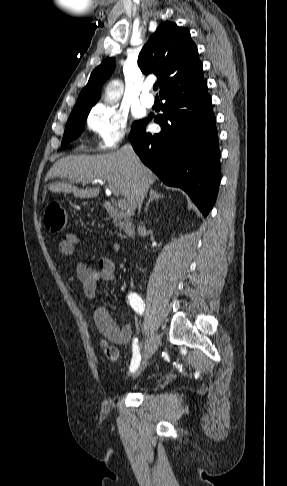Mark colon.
<instances>
[{
  "label": "colon",
  "instance_id": "1",
  "mask_svg": "<svg viewBox=\"0 0 287 486\" xmlns=\"http://www.w3.org/2000/svg\"><path fill=\"white\" fill-rule=\"evenodd\" d=\"M44 224L51 232H60L66 225V212L62 204L56 200H50L44 208ZM105 357L110 361H116L119 357L117 348L102 341Z\"/></svg>",
  "mask_w": 287,
  "mask_h": 486
}]
</instances>
